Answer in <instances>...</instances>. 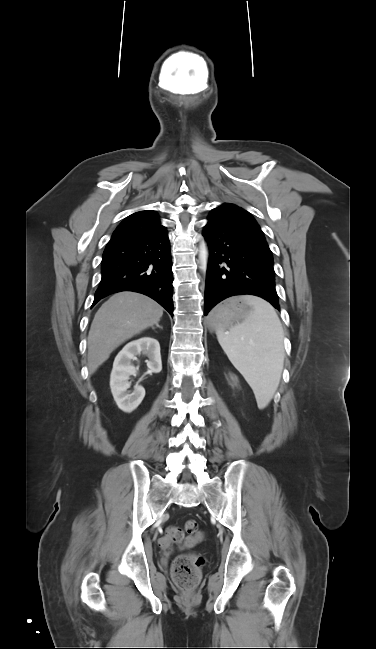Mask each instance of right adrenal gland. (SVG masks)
<instances>
[{"instance_id":"2a0ac1e0","label":"right adrenal gland","mask_w":376,"mask_h":649,"mask_svg":"<svg viewBox=\"0 0 376 649\" xmlns=\"http://www.w3.org/2000/svg\"><path fill=\"white\" fill-rule=\"evenodd\" d=\"M156 327L160 328V329H163V327H161L158 323L156 324ZM152 329H155V327L152 326Z\"/></svg>"}]
</instances>
